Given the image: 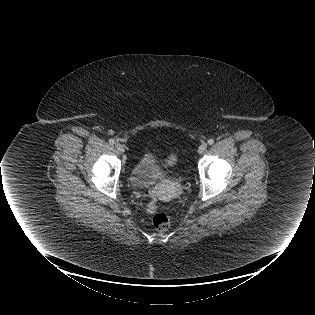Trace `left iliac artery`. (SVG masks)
Listing matches in <instances>:
<instances>
[{
    "mask_svg": "<svg viewBox=\"0 0 315 315\" xmlns=\"http://www.w3.org/2000/svg\"><path fill=\"white\" fill-rule=\"evenodd\" d=\"M213 143H214V140H213V139H209V140H208V144H209V145H212Z\"/></svg>",
    "mask_w": 315,
    "mask_h": 315,
    "instance_id": "1",
    "label": "left iliac artery"
}]
</instances>
